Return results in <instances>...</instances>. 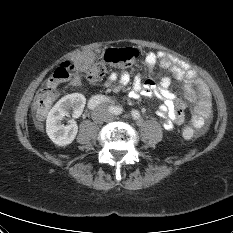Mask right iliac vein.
Listing matches in <instances>:
<instances>
[{"label":"right iliac vein","mask_w":233,"mask_h":233,"mask_svg":"<svg viewBox=\"0 0 233 233\" xmlns=\"http://www.w3.org/2000/svg\"><path fill=\"white\" fill-rule=\"evenodd\" d=\"M93 118L97 122H101L104 119V114L102 111L98 110L94 113Z\"/></svg>","instance_id":"right-iliac-vein-1"}]
</instances>
